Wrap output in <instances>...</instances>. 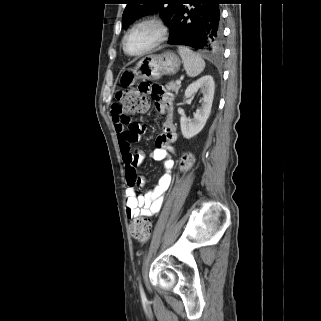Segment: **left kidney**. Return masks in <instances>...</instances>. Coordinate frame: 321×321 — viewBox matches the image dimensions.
Listing matches in <instances>:
<instances>
[{
	"label": "left kidney",
	"instance_id": "5707ae66",
	"mask_svg": "<svg viewBox=\"0 0 321 321\" xmlns=\"http://www.w3.org/2000/svg\"><path fill=\"white\" fill-rule=\"evenodd\" d=\"M201 90L203 97L201 99V107L194 113L192 121L188 122L184 115L180 118L181 132L184 138L190 139L197 135L205 126L209 118L215 84L211 75H205L198 79L196 82L190 84L185 91V98L191 97L198 90Z\"/></svg>",
	"mask_w": 321,
	"mask_h": 321
}]
</instances>
